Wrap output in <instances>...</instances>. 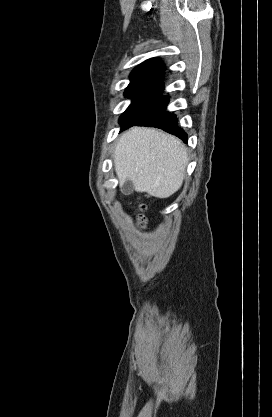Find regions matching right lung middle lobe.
Returning a JSON list of instances; mask_svg holds the SVG:
<instances>
[{
	"mask_svg": "<svg viewBox=\"0 0 272 417\" xmlns=\"http://www.w3.org/2000/svg\"><path fill=\"white\" fill-rule=\"evenodd\" d=\"M163 89L127 91L125 97L131 98L132 103L121 115L119 123L122 130L139 120L161 96Z\"/></svg>",
	"mask_w": 272,
	"mask_h": 417,
	"instance_id": "obj_1",
	"label": "right lung middle lobe"
}]
</instances>
